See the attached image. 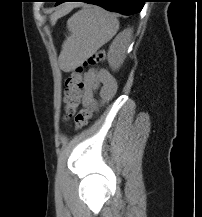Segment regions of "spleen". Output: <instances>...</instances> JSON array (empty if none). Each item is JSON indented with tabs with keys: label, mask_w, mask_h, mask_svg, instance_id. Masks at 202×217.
<instances>
[{
	"label": "spleen",
	"mask_w": 202,
	"mask_h": 217,
	"mask_svg": "<svg viewBox=\"0 0 202 217\" xmlns=\"http://www.w3.org/2000/svg\"><path fill=\"white\" fill-rule=\"evenodd\" d=\"M70 36L63 43V54L69 60L86 58L107 43L118 31L115 14L93 6L75 13L68 21Z\"/></svg>",
	"instance_id": "obj_1"
}]
</instances>
